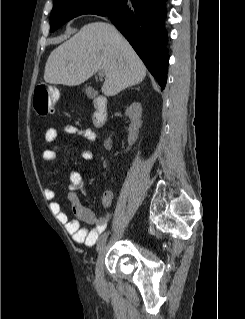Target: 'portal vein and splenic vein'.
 Instances as JSON below:
<instances>
[{
    "label": "portal vein and splenic vein",
    "instance_id": "1",
    "mask_svg": "<svg viewBox=\"0 0 245 319\" xmlns=\"http://www.w3.org/2000/svg\"><path fill=\"white\" fill-rule=\"evenodd\" d=\"M98 75H99L100 77H102V76H104V72H103L102 70H99V71H98Z\"/></svg>",
    "mask_w": 245,
    "mask_h": 319
}]
</instances>
